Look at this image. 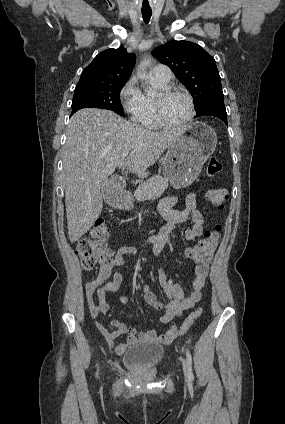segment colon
Listing matches in <instances>:
<instances>
[{"label": "colon", "instance_id": "5ec220e1", "mask_svg": "<svg viewBox=\"0 0 285 424\" xmlns=\"http://www.w3.org/2000/svg\"><path fill=\"white\" fill-rule=\"evenodd\" d=\"M222 170V163L216 156H211L206 163V174L209 177L218 175ZM208 201L217 209H223L227 199L224 189H208L206 191ZM220 226H215L208 231L205 238L191 250V258L195 261L209 260L212 258L220 241ZM111 229L105 219H98L88 237L83 238L76 248V254L80 258L84 269L91 270L100 265L105 270H110L113 264V252L107 247L106 240ZM202 310L196 309L191 312L179 327L181 332L187 331L200 317Z\"/></svg>", "mask_w": 285, "mask_h": 424}]
</instances>
